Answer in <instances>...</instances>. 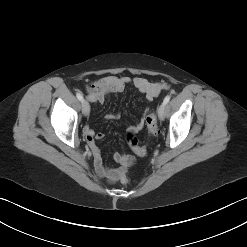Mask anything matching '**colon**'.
I'll return each instance as SVG.
<instances>
[{"instance_id": "5ec220e1", "label": "colon", "mask_w": 247, "mask_h": 247, "mask_svg": "<svg viewBox=\"0 0 247 247\" xmlns=\"http://www.w3.org/2000/svg\"><path fill=\"white\" fill-rule=\"evenodd\" d=\"M145 124L148 129V132L151 136H154L157 132V119L154 113H150L145 117ZM127 142L130 146V148L133 150L135 154L138 156H143L147 152V147L146 146H141L138 143L137 138L135 137L134 133L132 131H129L127 133ZM120 181L122 183H127L128 182V177L126 173V169L122 170L120 172Z\"/></svg>"}]
</instances>
